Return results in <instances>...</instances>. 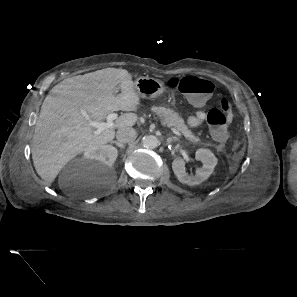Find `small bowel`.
I'll list each match as a JSON object with an SVG mask.
<instances>
[{
  "mask_svg": "<svg viewBox=\"0 0 297 297\" xmlns=\"http://www.w3.org/2000/svg\"><path fill=\"white\" fill-rule=\"evenodd\" d=\"M206 113L203 109L196 112L195 115L189 117L188 125L191 127H198L205 119Z\"/></svg>",
  "mask_w": 297,
  "mask_h": 297,
  "instance_id": "1",
  "label": "small bowel"
}]
</instances>
